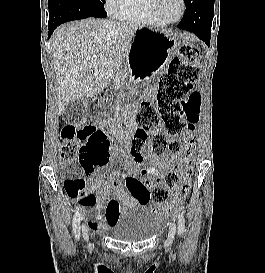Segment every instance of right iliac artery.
I'll return each instance as SVG.
<instances>
[{"instance_id":"obj_1","label":"right iliac artery","mask_w":265,"mask_h":273,"mask_svg":"<svg viewBox=\"0 0 265 273\" xmlns=\"http://www.w3.org/2000/svg\"><path fill=\"white\" fill-rule=\"evenodd\" d=\"M80 220L81 213L78 210L73 217V233L76 239L80 238Z\"/></svg>"}]
</instances>
